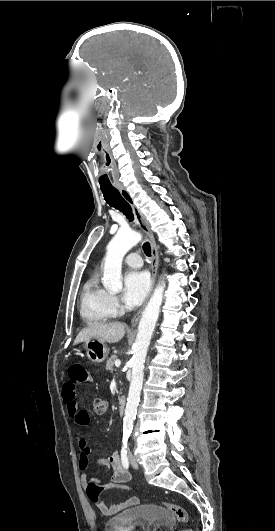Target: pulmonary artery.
<instances>
[{"label": "pulmonary artery", "instance_id": "obj_1", "mask_svg": "<svg viewBox=\"0 0 275 531\" xmlns=\"http://www.w3.org/2000/svg\"><path fill=\"white\" fill-rule=\"evenodd\" d=\"M125 262L131 266L133 265H136V266H140L141 265V260H140V257L137 253L135 252H132L131 253V256H127V258L125 259Z\"/></svg>", "mask_w": 275, "mask_h": 531}]
</instances>
